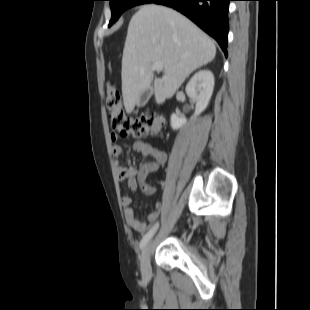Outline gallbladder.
<instances>
[{"instance_id": "1", "label": "gallbladder", "mask_w": 310, "mask_h": 310, "mask_svg": "<svg viewBox=\"0 0 310 310\" xmlns=\"http://www.w3.org/2000/svg\"><path fill=\"white\" fill-rule=\"evenodd\" d=\"M152 93H153L152 87L142 92L137 100V107L139 108L144 107L149 101Z\"/></svg>"}]
</instances>
